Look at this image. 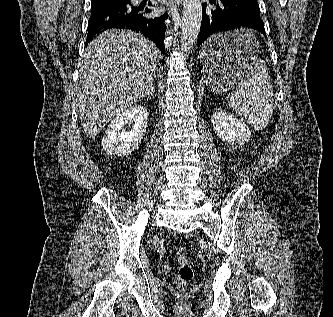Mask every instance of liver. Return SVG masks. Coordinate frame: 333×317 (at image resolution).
Segmentation results:
<instances>
[{
	"label": "liver",
	"mask_w": 333,
	"mask_h": 317,
	"mask_svg": "<svg viewBox=\"0 0 333 317\" xmlns=\"http://www.w3.org/2000/svg\"><path fill=\"white\" fill-rule=\"evenodd\" d=\"M157 59L154 43L133 31L107 30L88 44L75 104L90 139L148 95L154 86Z\"/></svg>",
	"instance_id": "6515ba94"
}]
</instances>
